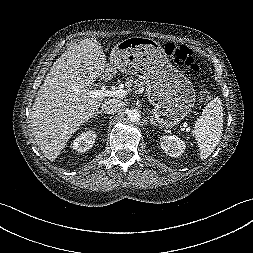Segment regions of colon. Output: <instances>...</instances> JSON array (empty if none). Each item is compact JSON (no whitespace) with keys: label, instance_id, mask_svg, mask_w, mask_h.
Listing matches in <instances>:
<instances>
[{"label":"colon","instance_id":"colon-1","mask_svg":"<svg viewBox=\"0 0 253 253\" xmlns=\"http://www.w3.org/2000/svg\"><path fill=\"white\" fill-rule=\"evenodd\" d=\"M165 53L176 64L185 66L195 73L200 71V65L196 61L194 53L189 47L185 45L167 43L165 46ZM201 98L204 100H208L210 98L209 91H201Z\"/></svg>","mask_w":253,"mask_h":253}]
</instances>
